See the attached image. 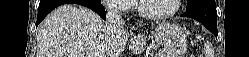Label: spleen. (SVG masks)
<instances>
[{
  "label": "spleen",
  "instance_id": "3e777b00",
  "mask_svg": "<svg viewBox=\"0 0 249 57\" xmlns=\"http://www.w3.org/2000/svg\"><path fill=\"white\" fill-rule=\"evenodd\" d=\"M206 57H213L212 56V52L210 50H206V53H205Z\"/></svg>",
  "mask_w": 249,
  "mask_h": 57
}]
</instances>
